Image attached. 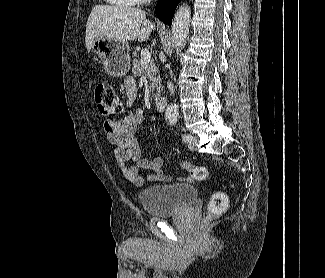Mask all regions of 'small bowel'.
I'll list each match as a JSON object with an SVG mask.
<instances>
[{"label": "small bowel", "mask_w": 325, "mask_h": 278, "mask_svg": "<svg viewBox=\"0 0 325 278\" xmlns=\"http://www.w3.org/2000/svg\"><path fill=\"white\" fill-rule=\"evenodd\" d=\"M126 101L129 107L127 113L117 120H106L103 124L107 141L112 146L116 164L127 181L135 186H141L144 178L139 170L150 171L146 176L149 182L169 181L170 177L162 172L161 157H143L141 155L137 136L145 122V112L141 108H132L136 99L137 89L132 78L124 82Z\"/></svg>", "instance_id": "c3829d8e"}]
</instances>
